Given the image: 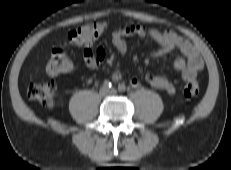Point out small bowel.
I'll return each mask as SVG.
<instances>
[{
    "mask_svg": "<svg viewBox=\"0 0 231 170\" xmlns=\"http://www.w3.org/2000/svg\"><path fill=\"white\" fill-rule=\"evenodd\" d=\"M137 36L140 38H150L160 45V48L151 52L150 57H159L171 51H179L183 57H179L174 62V69L183 79L192 80L203 68L204 63L197 48L186 38L174 31H160L156 28H147L140 24L129 22L121 23L120 27L112 33V44L116 48L121 58H125L128 52L126 37ZM105 57L102 49L92 50L88 47L84 49L85 63L91 67H98ZM121 73L115 70L112 73V80L119 81ZM147 82L154 88L162 90L168 94H174L176 89L174 84L160 74H148ZM130 84L133 87L139 86V80L132 78Z\"/></svg>",
    "mask_w": 231,
    "mask_h": 170,
    "instance_id": "obj_1",
    "label": "small bowel"
}]
</instances>
